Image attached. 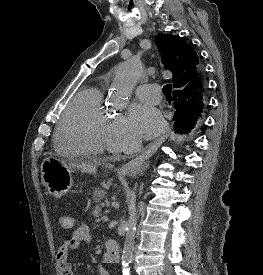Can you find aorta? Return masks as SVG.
I'll use <instances>...</instances> for the list:
<instances>
[{
  "instance_id": "aorta-1",
  "label": "aorta",
  "mask_w": 263,
  "mask_h": 275,
  "mask_svg": "<svg viewBox=\"0 0 263 275\" xmlns=\"http://www.w3.org/2000/svg\"><path fill=\"white\" fill-rule=\"evenodd\" d=\"M142 65L138 59L132 58L118 65L113 83L111 85V99L118 102L126 101L132 93L133 88L142 76ZM137 225V208L130 209L127 222L125 241L121 255L123 275H129L130 263L133 258L135 234Z\"/></svg>"
}]
</instances>
